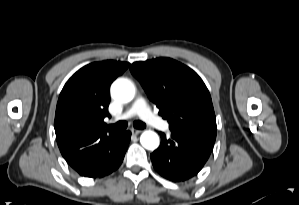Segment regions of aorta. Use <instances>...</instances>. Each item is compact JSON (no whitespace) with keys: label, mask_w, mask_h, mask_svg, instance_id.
<instances>
[{"label":"aorta","mask_w":299,"mask_h":205,"mask_svg":"<svg viewBox=\"0 0 299 205\" xmlns=\"http://www.w3.org/2000/svg\"><path fill=\"white\" fill-rule=\"evenodd\" d=\"M133 84L126 79H118L111 86V95L114 99L127 103L134 97ZM141 145L148 150H155L159 146V137L153 131H144L140 137Z\"/></svg>","instance_id":"aorta-1"}]
</instances>
